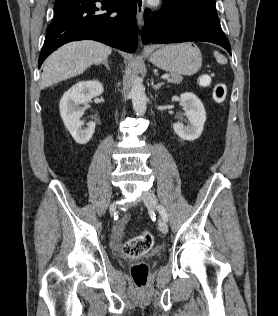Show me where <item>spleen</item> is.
Returning a JSON list of instances; mask_svg holds the SVG:
<instances>
[{"label":"spleen","instance_id":"3e777b00","mask_svg":"<svg viewBox=\"0 0 278 316\" xmlns=\"http://www.w3.org/2000/svg\"><path fill=\"white\" fill-rule=\"evenodd\" d=\"M214 56H215L216 61L218 63H220V64H226L227 63V59L222 54H220L219 52L214 51Z\"/></svg>","mask_w":278,"mask_h":316}]
</instances>
